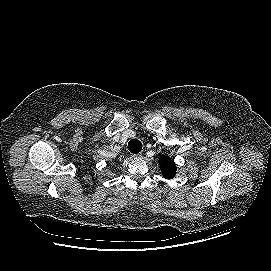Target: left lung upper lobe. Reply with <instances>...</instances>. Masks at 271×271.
<instances>
[{"mask_svg": "<svg viewBox=\"0 0 271 271\" xmlns=\"http://www.w3.org/2000/svg\"><path fill=\"white\" fill-rule=\"evenodd\" d=\"M159 163L161 166L163 177L169 179L175 175L176 166L171 158L161 155Z\"/></svg>", "mask_w": 271, "mask_h": 271, "instance_id": "5c2ea615", "label": "left lung upper lobe"}]
</instances>
